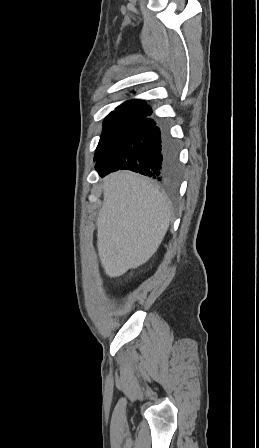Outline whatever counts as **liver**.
<instances>
[{"label": "liver", "instance_id": "liver-1", "mask_svg": "<svg viewBox=\"0 0 259 448\" xmlns=\"http://www.w3.org/2000/svg\"><path fill=\"white\" fill-rule=\"evenodd\" d=\"M103 194L98 256L105 274L118 278L157 252L169 228V204L153 180L128 170L106 176Z\"/></svg>", "mask_w": 259, "mask_h": 448}]
</instances>
